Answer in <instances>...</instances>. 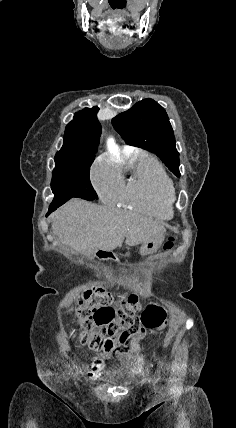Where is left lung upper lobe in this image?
Masks as SVG:
<instances>
[{
	"instance_id": "5c2ea615",
	"label": "left lung upper lobe",
	"mask_w": 236,
	"mask_h": 428,
	"mask_svg": "<svg viewBox=\"0 0 236 428\" xmlns=\"http://www.w3.org/2000/svg\"><path fill=\"white\" fill-rule=\"evenodd\" d=\"M128 145L156 153L171 172L180 177L179 153L169 118L153 99H144L112 120Z\"/></svg>"
}]
</instances>
